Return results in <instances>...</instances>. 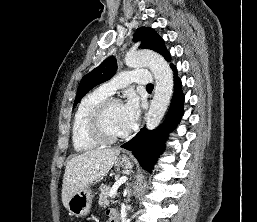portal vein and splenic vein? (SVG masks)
Here are the masks:
<instances>
[{
  "label": "portal vein and splenic vein",
  "mask_w": 257,
  "mask_h": 222,
  "mask_svg": "<svg viewBox=\"0 0 257 222\" xmlns=\"http://www.w3.org/2000/svg\"><path fill=\"white\" fill-rule=\"evenodd\" d=\"M126 180H127L126 177H124V178L118 180V181L114 184V186L112 187V189H111V191H110V196L115 195L116 192H117L118 187L121 185V183L125 182Z\"/></svg>",
  "instance_id": "18ae733b"
}]
</instances>
